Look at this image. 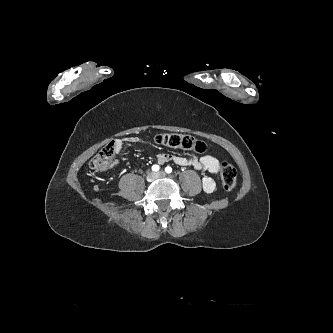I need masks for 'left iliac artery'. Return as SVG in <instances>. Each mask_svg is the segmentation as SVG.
Masks as SVG:
<instances>
[{
  "instance_id": "obj_1",
  "label": "left iliac artery",
  "mask_w": 333,
  "mask_h": 333,
  "mask_svg": "<svg viewBox=\"0 0 333 333\" xmlns=\"http://www.w3.org/2000/svg\"><path fill=\"white\" fill-rule=\"evenodd\" d=\"M165 172L168 173V174H170L172 172V168L170 166H167L165 168Z\"/></svg>"
}]
</instances>
